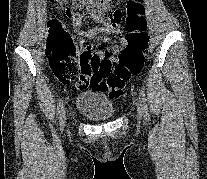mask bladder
<instances>
[{
    "label": "bladder",
    "mask_w": 207,
    "mask_h": 179,
    "mask_svg": "<svg viewBox=\"0 0 207 179\" xmlns=\"http://www.w3.org/2000/svg\"><path fill=\"white\" fill-rule=\"evenodd\" d=\"M77 112L91 121L110 120L115 115V108L108 97L98 89H91L77 95Z\"/></svg>",
    "instance_id": "31cf9c89"
}]
</instances>
